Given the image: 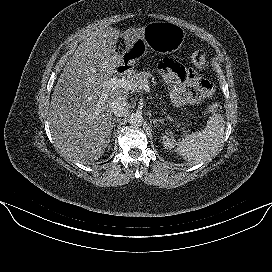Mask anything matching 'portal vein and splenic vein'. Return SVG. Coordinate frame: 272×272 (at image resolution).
<instances>
[{
	"instance_id": "1",
	"label": "portal vein and splenic vein",
	"mask_w": 272,
	"mask_h": 272,
	"mask_svg": "<svg viewBox=\"0 0 272 272\" xmlns=\"http://www.w3.org/2000/svg\"><path fill=\"white\" fill-rule=\"evenodd\" d=\"M104 87L106 88H122L128 91L132 92H140V91H145V92H150V87L148 84H139L136 82H132L131 80L128 79H118L116 77L111 78L107 81H104L103 83ZM107 94L103 93L102 98H106Z\"/></svg>"
}]
</instances>
